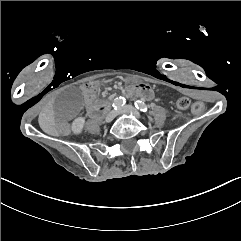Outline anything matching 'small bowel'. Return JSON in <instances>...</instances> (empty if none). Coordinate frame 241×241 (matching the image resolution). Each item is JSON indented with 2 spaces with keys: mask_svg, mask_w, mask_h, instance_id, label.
Wrapping results in <instances>:
<instances>
[{
  "mask_svg": "<svg viewBox=\"0 0 241 241\" xmlns=\"http://www.w3.org/2000/svg\"><path fill=\"white\" fill-rule=\"evenodd\" d=\"M81 90L84 95L87 112L91 116L92 110L97 106L98 84L94 82L83 84Z\"/></svg>",
  "mask_w": 241,
  "mask_h": 241,
  "instance_id": "c3829d8e",
  "label": "small bowel"
}]
</instances>
